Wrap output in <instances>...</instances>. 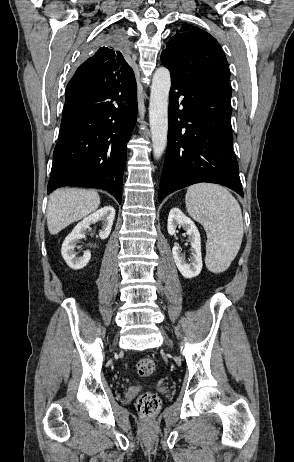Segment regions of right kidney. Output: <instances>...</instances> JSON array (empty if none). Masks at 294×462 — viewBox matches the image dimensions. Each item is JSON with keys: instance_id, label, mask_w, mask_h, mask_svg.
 <instances>
[{"instance_id": "1", "label": "right kidney", "mask_w": 294, "mask_h": 462, "mask_svg": "<svg viewBox=\"0 0 294 462\" xmlns=\"http://www.w3.org/2000/svg\"><path fill=\"white\" fill-rule=\"evenodd\" d=\"M114 218L115 209L112 206H105L84 218L74 227L72 232L65 238L61 248L62 257L70 268L80 270L90 261L91 252L89 250L85 251L82 257H77L75 252L78 240L85 238L90 225L101 221L103 228L99 232V237L106 239L111 232Z\"/></svg>"}]
</instances>
